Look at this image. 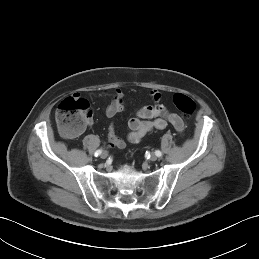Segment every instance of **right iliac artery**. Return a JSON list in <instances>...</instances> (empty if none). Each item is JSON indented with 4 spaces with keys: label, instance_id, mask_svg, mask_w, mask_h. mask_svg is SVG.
Listing matches in <instances>:
<instances>
[{
    "label": "right iliac artery",
    "instance_id": "obj_1",
    "mask_svg": "<svg viewBox=\"0 0 259 259\" xmlns=\"http://www.w3.org/2000/svg\"><path fill=\"white\" fill-rule=\"evenodd\" d=\"M101 152H102V150H97V151L95 152V156H96V157L99 156V155L101 154Z\"/></svg>",
    "mask_w": 259,
    "mask_h": 259
}]
</instances>
